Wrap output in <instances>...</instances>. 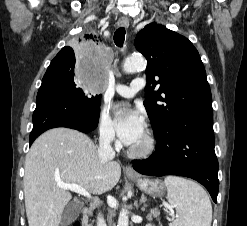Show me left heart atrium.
Instances as JSON below:
<instances>
[{
    "mask_svg": "<svg viewBox=\"0 0 247 226\" xmlns=\"http://www.w3.org/2000/svg\"><path fill=\"white\" fill-rule=\"evenodd\" d=\"M116 128L121 141L131 146L144 135L145 121L138 110L120 104L116 111Z\"/></svg>",
    "mask_w": 247,
    "mask_h": 226,
    "instance_id": "left-heart-atrium-1",
    "label": "left heart atrium"
}]
</instances>
